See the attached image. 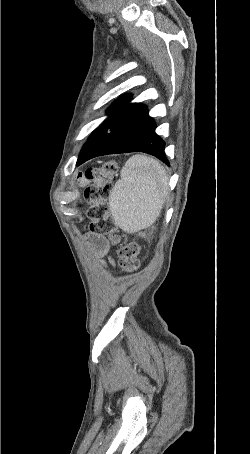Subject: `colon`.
I'll return each instance as SVG.
<instances>
[{
  "label": "colon",
  "mask_w": 250,
  "mask_h": 454,
  "mask_svg": "<svg viewBox=\"0 0 250 454\" xmlns=\"http://www.w3.org/2000/svg\"><path fill=\"white\" fill-rule=\"evenodd\" d=\"M117 170V163L108 161L100 167H89L85 172V177L93 181V185L86 190V197L93 203L88 211L91 219L89 230L93 234L103 235L115 229L107 201L112 192L111 181ZM138 254L139 247L135 242L121 243L117 251L121 269L128 273L136 271L140 266Z\"/></svg>",
  "instance_id": "1"
}]
</instances>
